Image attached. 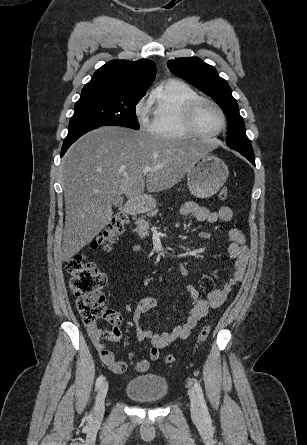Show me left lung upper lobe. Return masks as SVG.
Segmentation results:
<instances>
[{"label": "left lung upper lobe", "mask_w": 307, "mask_h": 445, "mask_svg": "<svg viewBox=\"0 0 307 445\" xmlns=\"http://www.w3.org/2000/svg\"><path fill=\"white\" fill-rule=\"evenodd\" d=\"M167 66L172 73L211 96L223 109L228 122V146L234 150L252 152L253 149L245 133V125L239 113L238 104L231 94L228 83L219 76L216 69L198 57L170 60Z\"/></svg>", "instance_id": "5c2ea615"}]
</instances>
